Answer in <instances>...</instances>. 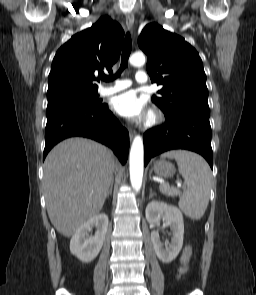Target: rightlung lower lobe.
<instances>
[{
  "instance_id": "obj_1",
  "label": "right lung lower lobe",
  "mask_w": 256,
  "mask_h": 295,
  "mask_svg": "<svg viewBox=\"0 0 256 295\" xmlns=\"http://www.w3.org/2000/svg\"><path fill=\"white\" fill-rule=\"evenodd\" d=\"M46 116L43 159L61 140L83 136L109 146L122 164L126 162L129 133L108 110L107 104L89 108L72 103L48 102Z\"/></svg>"
}]
</instances>
